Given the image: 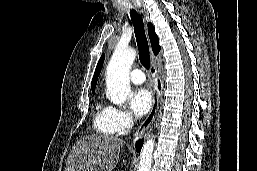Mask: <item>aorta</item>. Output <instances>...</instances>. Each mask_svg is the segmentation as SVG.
Wrapping results in <instances>:
<instances>
[{
  "instance_id": "762f6f07",
  "label": "aorta",
  "mask_w": 257,
  "mask_h": 171,
  "mask_svg": "<svg viewBox=\"0 0 257 171\" xmlns=\"http://www.w3.org/2000/svg\"><path fill=\"white\" fill-rule=\"evenodd\" d=\"M136 58L134 49L117 48L107 66L106 85L107 96L113 104L122 105L130 91L129 72ZM154 140L145 141L141 153L138 171H151Z\"/></svg>"
}]
</instances>
